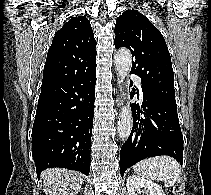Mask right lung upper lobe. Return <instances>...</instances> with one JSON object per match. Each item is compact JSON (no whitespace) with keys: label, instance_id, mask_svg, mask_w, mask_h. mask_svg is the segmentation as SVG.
Listing matches in <instances>:
<instances>
[{"label":"right lung upper lobe","instance_id":"1","mask_svg":"<svg viewBox=\"0 0 211 195\" xmlns=\"http://www.w3.org/2000/svg\"><path fill=\"white\" fill-rule=\"evenodd\" d=\"M96 41L89 20L72 17L56 32L43 71L42 86L92 70Z\"/></svg>","mask_w":211,"mask_h":195}]
</instances>
